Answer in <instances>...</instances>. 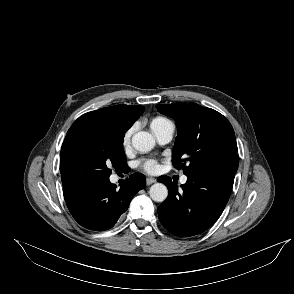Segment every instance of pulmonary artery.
Instances as JSON below:
<instances>
[{"label":"pulmonary artery","mask_w":294,"mask_h":294,"mask_svg":"<svg viewBox=\"0 0 294 294\" xmlns=\"http://www.w3.org/2000/svg\"><path fill=\"white\" fill-rule=\"evenodd\" d=\"M175 126L172 122L161 128L155 133V136L160 144L169 143L174 135ZM187 182V176H182L180 179L181 184H185Z\"/></svg>","instance_id":"e3ab8cb5"}]
</instances>
